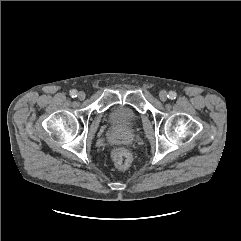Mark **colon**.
<instances>
[{
    "label": "colon",
    "mask_w": 241,
    "mask_h": 241,
    "mask_svg": "<svg viewBox=\"0 0 241 241\" xmlns=\"http://www.w3.org/2000/svg\"><path fill=\"white\" fill-rule=\"evenodd\" d=\"M111 157L114 164L119 169H125L129 166L131 161L130 153L124 148H115L111 152Z\"/></svg>",
    "instance_id": "5ec220e1"
}]
</instances>
